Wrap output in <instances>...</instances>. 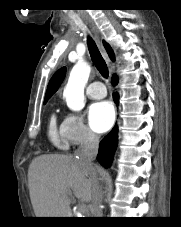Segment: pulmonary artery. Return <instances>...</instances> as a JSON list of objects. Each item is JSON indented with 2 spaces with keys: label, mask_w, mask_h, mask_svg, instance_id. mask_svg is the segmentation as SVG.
Returning a JSON list of instances; mask_svg holds the SVG:
<instances>
[{
  "label": "pulmonary artery",
  "mask_w": 181,
  "mask_h": 227,
  "mask_svg": "<svg viewBox=\"0 0 181 227\" xmlns=\"http://www.w3.org/2000/svg\"><path fill=\"white\" fill-rule=\"evenodd\" d=\"M86 94L92 99H101L106 96V88L102 82L95 81L88 85L86 88Z\"/></svg>",
  "instance_id": "e3ab8cb5"
}]
</instances>
